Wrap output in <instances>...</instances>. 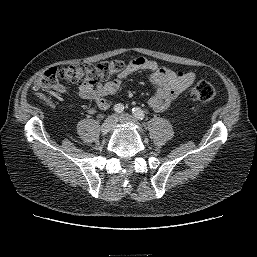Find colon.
<instances>
[{
    "label": "colon",
    "mask_w": 257,
    "mask_h": 257,
    "mask_svg": "<svg viewBox=\"0 0 257 257\" xmlns=\"http://www.w3.org/2000/svg\"><path fill=\"white\" fill-rule=\"evenodd\" d=\"M123 60L105 61L98 64L69 65L63 68L50 67L37 80L38 90L55 89L59 80L79 85H95L106 82L112 75H119L127 68ZM216 90L207 81L194 84L189 96L196 102H210L215 98Z\"/></svg>",
    "instance_id": "colon-1"
}]
</instances>
